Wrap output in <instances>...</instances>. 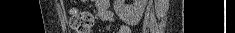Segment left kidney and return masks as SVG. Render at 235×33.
I'll return each instance as SVG.
<instances>
[{
    "instance_id": "left-kidney-1",
    "label": "left kidney",
    "mask_w": 235,
    "mask_h": 33,
    "mask_svg": "<svg viewBox=\"0 0 235 33\" xmlns=\"http://www.w3.org/2000/svg\"><path fill=\"white\" fill-rule=\"evenodd\" d=\"M146 5L147 0H134L131 5H127L125 0H114V11L123 22L134 24L141 19Z\"/></svg>"
}]
</instances>
